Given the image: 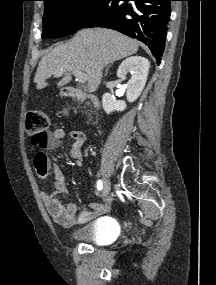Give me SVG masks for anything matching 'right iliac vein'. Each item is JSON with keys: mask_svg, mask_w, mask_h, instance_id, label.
Returning a JSON list of instances; mask_svg holds the SVG:
<instances>
[{"mask_svg": "<svg viewBox=\"0 0 216 285\" xmlns=\"http://www.w3.org/2000/svg\"><path fill=\"white\" fill-rule=\"evenodd\" d=\"M110 190H111L110 181H109L108 179H106V180L104 181L103 191H102L104 198H106V197L109 195Z\"/></svg>", "mask_w": 216, "mask_h": 285, "instance_id": "63e3f726", "label": "right iliac vein"}]
</instances>
